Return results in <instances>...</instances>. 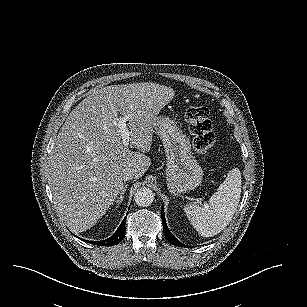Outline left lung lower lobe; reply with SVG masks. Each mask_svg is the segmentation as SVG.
<instances>
[{"label": "left lung lower lobe", "mask_w": 307, "mask_h": 307, "mask_svg": "<svg viewBox=\"0 0 307 307\" xmlns=\"http://www.w3.org/2000/svg\"><path fill=\"white\" fill-rule=\"evenodd\" d=\"M161 218H162V223H163V231H164V236L166 237V239L173 245L175 246H179V247H185L184 244H182L181 242H179L174 236L173 234L169 231L167 224H166V220H165V216H164V207L162 206L161 208Z\"/></svg>", "instance_id": "left-lung-lower-lobe-1"}]
</instances>
